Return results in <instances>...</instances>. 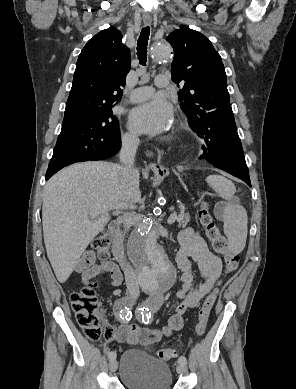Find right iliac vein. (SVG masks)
<instances>
[{"instance_id":"1","label":"right iliac vein","mask_w":296,"mask_h":389,"mask_svg":"<svg viewBox=\"0 0 296 389\" xmlns=\"http://www.w3.org/2000/svg\"><path fill=\"white\" fill-rule=\"evenodd\" d=\"M109 369H110L111 372L116 371V369H117V361L115 360V358L114 359H110V361H109Z\"/></svg>"}]
</instances>
